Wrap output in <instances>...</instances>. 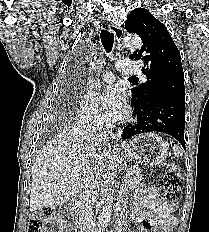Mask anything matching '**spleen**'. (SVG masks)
I'll return each mask as SVG.
<instances>
[{
  "label": "spleen",
  "mask_w": 209,
  "mask_h": 232,
  "mask_svg": "<svg viewBox=\"0 0 209 232\" xmlns=\"http://www.w3.org/2000/svg\"><path fill=\"white\" fill-rule=\"evenodd\" d=\"M173 153L176 156H181L183 154V150L179 146L174 145V147H173Z\"/></svg>",
  "instance_id": "obj_1"
}]
</instances>
